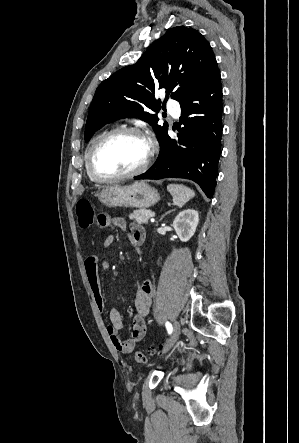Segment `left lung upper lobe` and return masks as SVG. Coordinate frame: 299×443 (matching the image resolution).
<instances>
[{"label":"left lung upper lobe","instance_id":"5c2ea615","mask_svg":"<svg viewBox=\"0 0 299 443\" xmlns=\"http://www.w3.org/2000/svg\"><path fill=\"white\" fill-rule=\"evenodd\" d=\"M215 61L209 42L195 29L177 26L156 40L133 65L104 80L96 90L85 126V141L107 123L137 117L154 127L159 141L168 124L157 125L160 101L155 92L165 89L167 100L179 102L207 74ZM164 101V103H165Z\"/></svg>","mask_w":299,"mask_h":443}]
</instances>
